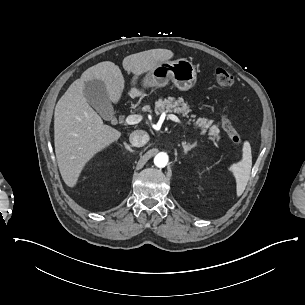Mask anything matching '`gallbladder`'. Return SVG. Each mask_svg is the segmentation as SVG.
I'll return each instance as SVG.
<instances>
[{"instance_id":"1","label":"gallbladder","mask_w":305,"mask_h":305,"mask_svg":"<svg viewBox=\"0 0 305 305\" xmlns=\"http://www.w3.org/2000/svg\"><path fill=\"white\" fill-rule=\"evenodd\" d=\"M84 97L103 119L109 120L113 117V106L103 82L97 80L86 82Z\"/></svg>"}]
</instances>
